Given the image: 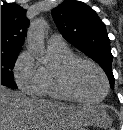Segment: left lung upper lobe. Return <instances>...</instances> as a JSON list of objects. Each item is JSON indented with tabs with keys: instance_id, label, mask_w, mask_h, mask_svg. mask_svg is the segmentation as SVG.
<instances>
[{
	"instance_id": "left-lung-upper-lobe-1",
	"label": "left lung upper lobe",
	"mask_w": 123,
	"mask_h": 130,
	"mask_svg": "<svg viewBox=\"0 0 123 130\" xmlns=\"http://www.w3.org/2000/svg\"><path fill=\"white\" fill-rule=\"evenodd\" d=\"M52 16L61 34L103 68L114 88L110 40L97 13L83 2L66 0L52 10Z\"/></svg>"
}]
</instances>
